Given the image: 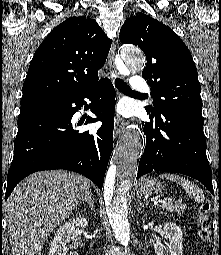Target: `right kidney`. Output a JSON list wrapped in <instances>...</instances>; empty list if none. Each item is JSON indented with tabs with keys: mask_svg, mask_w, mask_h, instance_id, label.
Wrapping results in <instances>:
<instances>
[{
	"mask_svg": "<svg viewBox=\"0 0 221 255\" xmlns=\"http://www.w3.org/2000/svg\"><path fill=\"white\" fill-rule=\"evenodd\" d=\"M76 227L86 228L88 226L87 218L77 217L76 219L65 222L56 231L50 244L48 255H65L68 251L66 245L70 241L71 235ZM70 255H78L77 252H70Z\"/></svg>",
	"mask_w": 221,
	"mask_h": 255,
	"instance_id": "right-kidney-1",
	"label": "right kidney"
}]
</instances>
